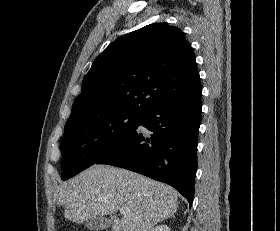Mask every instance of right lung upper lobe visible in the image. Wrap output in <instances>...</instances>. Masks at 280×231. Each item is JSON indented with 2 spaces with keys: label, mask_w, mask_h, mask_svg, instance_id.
Here are the masks:
<instances>
[{
  "label": "right lung upper lobe",
  "mask_w": 280,
  "mask_h": 231,
  "mask_svg": "<svg viewBox=\"0 0 280 231\" xmlns=\"http://www.w3.org/2000/svg\"><path fill=\"white\" fill-rule=\"evenodd\" d=\"M195 55L181 29L155 23L122 36L93 62L70 119L140 114L201 91Z\"/></svg>",
  "instance_id": "cb5924a9"
}]
</instances>
